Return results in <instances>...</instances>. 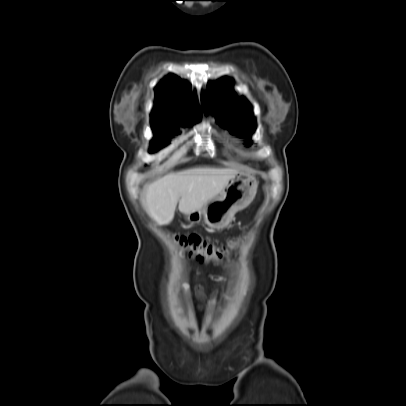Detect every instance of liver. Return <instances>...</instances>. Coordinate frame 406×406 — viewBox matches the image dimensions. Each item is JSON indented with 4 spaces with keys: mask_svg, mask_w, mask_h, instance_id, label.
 Listing matches in <instances>:
<instances>
[{
    "mask_svg": "<svg viewBox=\"0 0 406 406\" xmlns=\"http://www.w3.org/2000/svg\"><path fill=\"white\" fill-rule=\"evenodd\" d=\"M238 172L231 167L204 166L169 173L146 186L147 212L157 224H169L178 203L179 211L186 215L202 209Z\"/></svg>",
    "mask_w": 406,
    "mask_h": 406,
    "instance_id": "obj_1",
    "label": "liver"
}]
</instances>
